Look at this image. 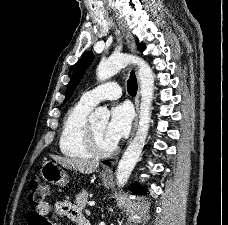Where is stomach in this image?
<instances>
[{
    "mask_svg": "<svg viewBox=\"0 0 228 225\" xmlns=\"http://www.w3.org/2000/svg\"><path fill=\"white\" fill-rule=\"evenodd\" d=\"M40 171L41 177H43L44 181L51 183V185L65 187L69 181L66 171H63L62 167H59V165H57V163H53V161H45ZM101 181H103L104 187H109L111 183V179L104 177L103 173H101Z\"/></svg>",
    "mask_w": 228,
    "mask_h": 225,
    "instance_id": "stomach-1",
    "label": "stomach"
}]
</instances>
